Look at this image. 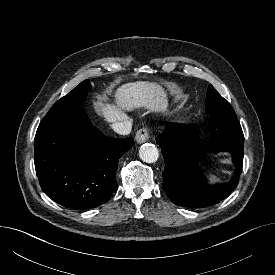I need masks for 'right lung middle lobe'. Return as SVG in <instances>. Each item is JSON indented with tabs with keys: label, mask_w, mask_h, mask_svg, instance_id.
<instances>
[{
	"label": "right lung middle lobe",
	"mask_w": 275,
	"mask_h": 275,
	"mask_svg": "<svg viewBox=\"0 0 275 275\" xmlns=\"http://www.w3.org/2000/svg\"><path fill=\"white\" fill-rule=\"evenodd\" d=\"M90 88L89 80H84L77 87H75L71 92L58 100L49 112L44 117L50 118L53 116H58L66 111L80 107L85 101L87 96V91Z\"/></svg>",
	"instance_id": "right-lung-middle-lobe-1"
}]
</instances>
